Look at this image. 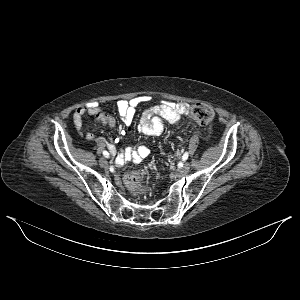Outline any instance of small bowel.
<instances>
[{"label":"small bowel","mask_w":300,"mask_h":300,"mask_svg":"<svg viewBox=\"0 0 300 300\" xmlns=\"http://www.w3.org/2000/svg\"><path fill=\"white\" fill-rule=\"evenodd\" d=\"M148 100L145 96H137L131 99H122L117 102L118 114L126 127L130 130L135 118L137 107ZM189 104L185 102H169L162 101L160 104L145 109L141 115L137 130L148 136H158L164 130V122L176 123L183 115L189 112ZM94 116L103 125L114 128L116 126V118L109 112L105 111L96 102H90L79 106L73 114V123L82 136L83 116ZM85 138L89 141H98L103 143L102 138H96L92 132H87ZM109 149L113 155L116 154L113 145H109ZM149 149L140 145L137 147H128L122 150L115 158L116 166H123L128 161L140 162L149 155Z\"/></svg>","instance_id":"c3829d8e"}]
</instances>
